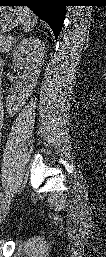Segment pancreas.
I'll return each mask as SVG.
<instances>
[{
    "label": "pancreas",
    "instance_id": "cf45deb5",
    "mask_svg": "<svg viewBox=\"0 0 106 257\" xmlns=\"http://www.w3.org/2000/svg\"><path fill=\"white\" fill-rule=\"evenodd\" d=\"M16 39L12 36H1L0 37V52L7 53L9 52L15 45Z\"/></svg>",
    "mask_w": 106,
    "mask_h": 257
}]
</instances>
